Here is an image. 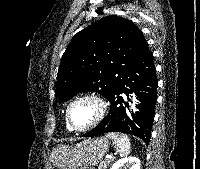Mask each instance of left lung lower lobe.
I'll list each match as a JSON object with an SVG mask.
<instances>
[{"mask_svg": "<svg viewBox=\"0 0 200 169\" xmlns=\"http://www.w3.org/2000/svg\"><path fill=\"white\" fill-rule=\"evenodd\" d=\"M157 79L153 54L148 50L142 58L128 70L121 83L107 98L111 108L107 117L85 137L97 136L108 132H122L141 138L146 144L151 138V127L157 98ZM142 91V92H140ZM135 92L140 97L138 111L128 118L123 103L128 105L120 94Z\"/></svg>", "mask_w": 200, "mask_h": 169, "instance_id": "obj_1", "label": "left lung lower lobe"}]
</instances>
